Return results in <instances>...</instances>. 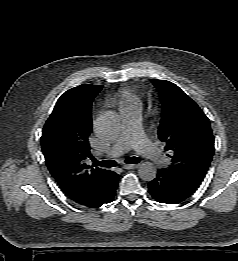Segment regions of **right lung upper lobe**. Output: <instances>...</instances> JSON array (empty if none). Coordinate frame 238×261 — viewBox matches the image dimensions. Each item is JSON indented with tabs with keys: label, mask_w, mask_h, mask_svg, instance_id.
Instances as JSON below:
<instances>
[{
	"label": "right lung upper lobe",
	"mask_w": 238,
	"mask_h": 261,
	"mask_svg": "<svg viewBox=\"0 0 238 261\" xmlns=\"http://www.w3.org/2000/svg\"><path fill=\"white\" fill-rule=\"evenodd\" d=\"M102 85L83 84L66 91L43 128L41 147L46 165L63 192L74 202L94 191L108 170L85 164L90 157L91 106ZM55 113H60L55 119Z\"/></svg>",
	"instance_id": "obj_1"
}]
</instances>
